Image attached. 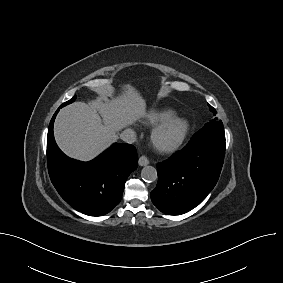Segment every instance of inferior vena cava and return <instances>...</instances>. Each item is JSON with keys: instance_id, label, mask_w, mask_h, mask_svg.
I'll list each match as a JSON object with an SVG mask.
<instances>
[{"instance_id": "602c4592", "label": "inferior vena cava", "mask_w": 283, "mask_h": 283, "mask_svg": "<svg viewBox=\"0 0 283 283\" xmlns=\"http://www.w3.org/2000/svg\"><path fill=\"white\" fill-rule=\"evenodd\" d=\"M121 140H123L126 143H134L136 140V133L132 129H125L121 134H120Z\"/></svg>"}]
</instances>
